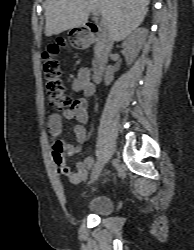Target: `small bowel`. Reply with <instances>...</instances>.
I'll list each match as a JSON object with an SVG mask.
<instances>
[{
	"label": "small bowel",
	"instance_id": "1",
	"mask_svg": "<svg viewBox=\"0 0 194 250\" xmlns=\"http://www.w3.org/2000/svg\"><path fill=\"white\" fill-rule=\"evenodd\" d=\"M73 89L81 93L82 97L76 101L74 107L66 109L61 113H53L48 120V132L53 140V159L57 172L65 175L73 184H79L86 180L87 174L93 164V158L88 156L78 162L76 169L71 171L65 163V155L73 156L79 153L81 146L86 140V123L88 121V99L95 93V85L91 81L90 72L87 68L79 71L73 80ZM65 120H76L74 126L76 144H70L60 138ZM62 155V159L59 158ZM67 171L64 172L63 168Z\"/></svg>",
	"mask_w": 194,
	"mask_h": 250
}]
</instances>
